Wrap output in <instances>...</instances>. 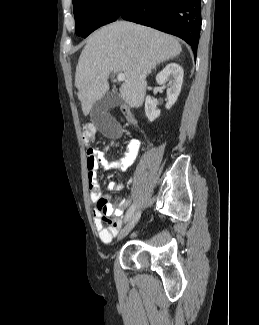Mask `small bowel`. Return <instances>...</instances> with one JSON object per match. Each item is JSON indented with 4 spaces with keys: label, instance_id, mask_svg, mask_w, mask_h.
<instances>
[{
    "label": "small bowel",
    "instance_id": "1",
    "mask_svg": "<svg viewBox=\"0 0 259 325\" xmlns=\"http://www.w3.org/2000/svg\"><path fill=\"white\" fill-rule=\"evenodd\" d=\"M140 142L138 139H131L128 142V149L125 156L120 162L110 161L106 154L98 149L89 148L86 153L88 185L90 190V198L96 204L93 212V222L97 230L99 239L104 244H109L117 235L123 221L124 211L128 205V201L124 197H119L116 205L109 202V196L104 195L98 183V172L100 167L114 169L119 166H130L137 157ZM123 188L122 182L113 179L108 183V190L111 192L120 191ZM112 219H108L112 216ZM107 221L108 226H104Z\"/></svg>",
    "mask_w": 259,
    "mask_h": 325
}]
</instances>
